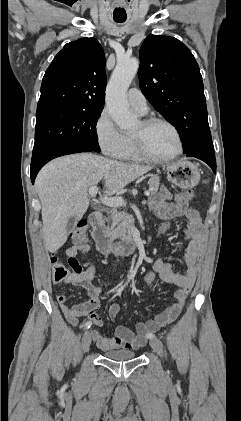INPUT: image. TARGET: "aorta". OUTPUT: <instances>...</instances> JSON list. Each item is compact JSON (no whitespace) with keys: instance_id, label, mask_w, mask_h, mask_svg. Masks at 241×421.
I'll return each mask as SVG.
<instances>
[{"instance_id":"obj_1","label":"aorta","mask_w":241,"mask_h":421,"mask_svg":"<svg viewBox=\"0 0 241 421\" xmlns=\"http://www.w3.org/2000/svg\"><path fill=\"white\" fill-rule=\"evenodd\" d=\"M139 68L135 58L119 60L106 88V105L110 116L121 129L135 125L136 117L130 113L126 91Z\"/></svg>"}]
</instances>
